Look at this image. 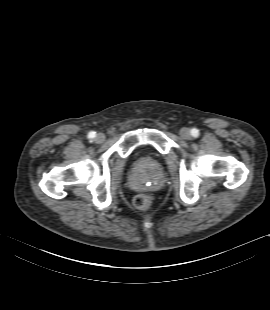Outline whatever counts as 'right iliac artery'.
<instances>
[{
    "mask_svg": "<svg viewBox=\"0 0 270 310\" xmlns=\"http://www.w3.org/2000/svg\"><path fill=\"white\" fill-rule=\"evenodd\" d=\"M88 137L91 138V139L94 138L95 137V132H90L88 134Z\"/></svg>",
    "mask_w": 270,
    "mask_h": 310,
    "instance_id": "1",
    "label": "right iliac artery"
}]
</instances>
